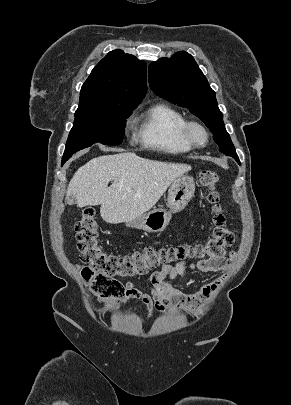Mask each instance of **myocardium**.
Segmentation results:
<instances>
[{"label":"myocardium","mask_w":291,"mask_h":405,"mask_svg":"<svg viewBox=\"0 0 291 405\" xmlns=\"http://www.w3.org/2000/svg\"><path fill=\"white\" fill-rule=\"evenodd\" d=\"M195 132H200L203 136L202 141H198L195 137ZM181 134L183 139L192 148H203L207 145L209 141V132L207 128L199 121L196 120H186L182 126Z\"/></svg>","instance_id":"obj_1"}]
</instances>
